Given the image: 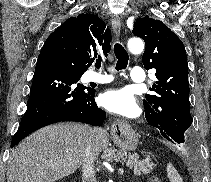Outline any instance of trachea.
Instances as JSON below:
<instances>
[{"mask_svg": "<svg viewBox=\"0 0 211 182\" xmlns=\"http://www.w3.org/2000/svg\"><path fill=\"white\" fill-rule=\"evenodd\" d=\"M114 53L117 59L116 70H124L127 68L129 56L124 47L116 43L114 45ZM96 67L99 69L101 67V59H98L95 63Z\"/></svg>", "mask_w": 211, "mask_h": 182, "instance_id": "1", "label": "trachea"}]
</instances>
